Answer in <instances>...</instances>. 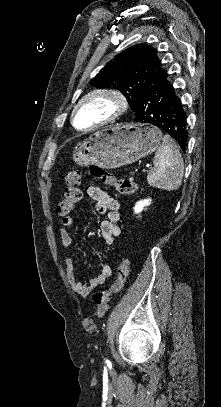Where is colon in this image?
I'll return each mask as SVG.
<instances>
[{
  "label": "colon",
  "instance_id": "5ec220e1",
  "mask_svg": "<svg viewBox=\"0 0 221 407\" xmlns=\"http://www.w3.org/2000/svg\"><path fill=\"white\" fill-rule=\"evenodd\" d=\"M89 172L91 176L97 181L105 185L114 187L119 193L124 195L134 194L138 190L137 184L127 178H117L112 172L97 165H89ZM66 186L64 196L59 201L57 206L58 215L69 214L74 206L81 200L82 191L80 188L81 171L73 170L66 175ZM130 274V261L123 258L117 268V276L108 289L96 290L92 295V300L96 305L94 315L97 319L104 317L109 301L112 296L121 292L124 288L126 280Z\"/></svg>",
  "mask_w": 221,
  "mask_h": 407
}]
</instances>
